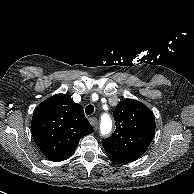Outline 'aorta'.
<instances>
[{"instance_id":"762f6f07","label":"aorta","mask_w":194,"mask_h":194,"mask_svg":"<svg viewBox=\"0 0 194 194\" xmlns=\"http://www.w3.org/2000/svg\"><path fill=\"white\" fill-rule=\"evenodd\" d=\"M112 129V120L108 114L102 115L100 123V132L102 135H107Z\"/></svg>"}]
</instances>
